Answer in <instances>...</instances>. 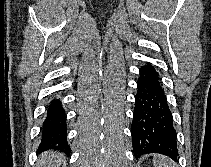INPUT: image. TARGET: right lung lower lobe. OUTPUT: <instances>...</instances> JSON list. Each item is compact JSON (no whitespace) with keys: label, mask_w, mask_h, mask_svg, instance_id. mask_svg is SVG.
<instances>
[{"label":"right lung lower lobe","mask_w":211,"mask_h":167,"mask_svg":"<svg viewBox=\"0 0 211 167\" xmlns=\"http://www.w3.org/2000/svg\"><path fill=\"white\" fill-rule=\"evenodd\" d=\"M66 113L61 101L53 98L47 107L46 118L42 126L40 151L57 149L69 154L71 148L67 142Z\"/></svg>","instance_id":"1"}]
</instances>
